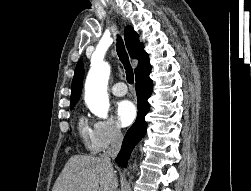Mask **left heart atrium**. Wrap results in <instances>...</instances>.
<instances>
[{
	"label": "left heart atrium",
	"instance_id": "39dd6f15",
	"mask_svg": "<svg viewBox=\"0 0 251 191\" xmlns=\"http://www.w3.org/2000/svg\"><path fill=\"white\" fill-rule=\"evenodd\" d=\"M136 116L135 105L129 100L120 101L116 106V117L121 126H128Z\"/></svg>",
	"mask_w": 251,
	"mask_h": 191
}]
</instances>
